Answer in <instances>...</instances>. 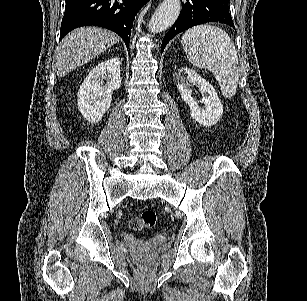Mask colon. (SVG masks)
Segmentation results:
<instances>
[{
  "mask_svg": "<svg viewBox=\"0 0 307 301\" xmlns=\"http://www.w3.org/2000/svg\"><path fill=\"white\" fill-rule=\"evenodd\" d=\"M156 222V213L151 209H147L131 219L130 227L132 230L142 231L153 228L156 225Z\"/></svg>",
  "mask_w": 307,
  "mask_h": 301,
  "instance_id": "5ec220e1",
  "label": "colon"
}]
</instances>
